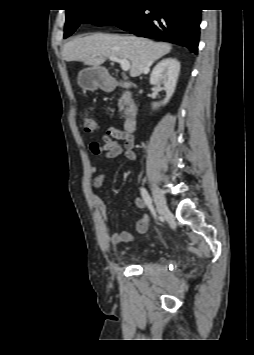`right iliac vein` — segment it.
Wrapping results in <instances>:
<instances>
[{
  "label": "right iliac vein",
  "mask_w": 254,
  "mask_h": 355,
  "mask_svg": "<svg viewBox=\"0 0 254 355\" xmlns=\"http://www.w3.org/2000/svg\"><path fill=\"white\" fill-rule=\"evenodd\" d=\"M152 194H153L154 203L158 213L161 215H168L169 211L162 190L156 186H152Z\"/></svg>",
  "instance_id": "right-iliac-vein-1"
}]
</instances>
